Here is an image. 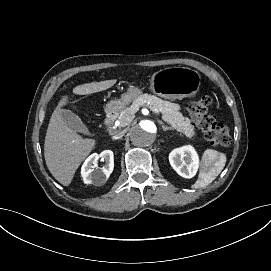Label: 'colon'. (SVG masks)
Returning a JSON list of instances; mask_svg holds the SVG:
<instances>
[{"label": "colon", "mask_w": 271, "mask_h": 271, "mask_svg": "<svg viewBox=\"0 0 271 271\" xmlns=\"http://www.w3.org/2000/svg\"><path fill=\"white\" fill-rule=\"evenodd\" d=\"M212 103V98L208 95L200 97L198 100L190 102L187 109L195 124L203 131L206 140L212 145H228L231 136L227 125L217 121L208 110Z\"/></svg>", "instance_id": "obj_1"}]
</instances>
